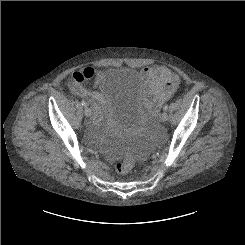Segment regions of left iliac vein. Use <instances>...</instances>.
Masks as SVG:
<instances>
[{"mask_svg":"<svg viewBox=\"0 0 245 245\" xmlns=\"http://www.w3.org/2000/svg\"><path fill=\"white\" fill-rule=\"evenodd\" d=\"M161 120L163 122H166L168 120V114L167 112H163L162 115H161Z\"/></svg>","mask_w":245,"mask_h":245,"instance_id":"4c4485c4","label":"left iliac vein"}]
</instances>
